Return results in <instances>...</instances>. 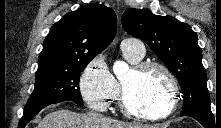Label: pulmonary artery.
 <instances>
[{"label": "pulmonary artery", "mask_w": 221, "mask_h": 128, "mask_svg": "<svg viewBox=\"0 0 221 128\" xmlns=\"http://www.w3.org/2000/svg\"><path fill=\"white\" fill-rule=\"evenodd\" d=\"M121 50L132 52L137 58H142L145 55V45L138 38H125L121 43Z\"/></svg>", "instance_id": "pulmonary-artery-1"}]
</instances>
